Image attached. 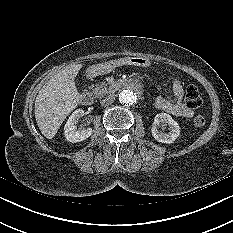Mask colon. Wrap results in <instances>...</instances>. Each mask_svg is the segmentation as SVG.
<instances>
[{
    "label": "colon",
    "mask_w": 233,
    "mask_h": 233,
    "mask_svg": "<svg viewBox=\"0 0 233 233\" xmlns=\"http://www.w3.org/2000/svg\"><path fill=\"white\" fill-rule=\"evenodd\" d=\"M185 101L190 108H198L201 105V95L195 86L189 85L186 88ZM205 122V117L201 114H198L193 118V125L195 127H202L204 126Z\"/></svg>",
    "instance_id": "1"
}]
</instances>
